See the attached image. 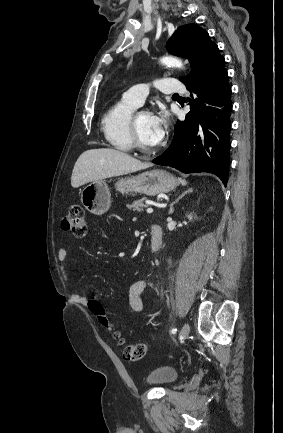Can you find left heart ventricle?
<instances>
[{"mask_svg": "<svg viewBox=\"0 0 283 433\" xmlns=\"http://www.w3.org/2000/svg\"><path fill=\"white\" fill-rule=\"evenodd\" d=\"M150 115L143 112L137 116V129L141 142L143 143V148L147 151H153L147 143V132L149 125Z\"/></svg>", "mask_w": 283, "mask_h": 433, "instance_id": "obj_1", "label": "left heart ventricle"}]
</instances>
